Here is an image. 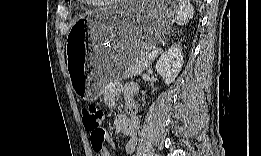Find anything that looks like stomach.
<instances>
[{
    "instance_id": "stomach-1",
    "label": "stomach",
    "mask_w": 261,
    "mask_h": 156,
    "mask_svg": "<svg viewBox=\"0 0 261 156\" xmlns=\"http://www.w3.org/2000/svg\"><path fill=\"white\" fill-rule=\"evenodd\" d=\"M177 11L176 2H119L76 21L66 45L75 94L86 101L97 99L107 83L124 77L128 67L165 38ZM78 39L85 45L83 56L76 54Z\"/></svg>"
}]
</instances>
